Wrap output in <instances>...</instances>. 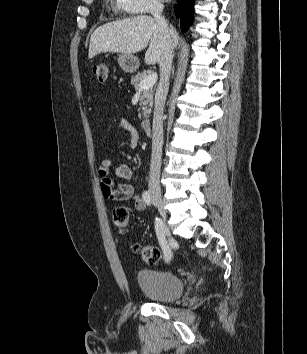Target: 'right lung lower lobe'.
I'll return each instance as SVG.
<instances>
[{"instance_id":"98d812e1","label":"right lung lower lobe","mask_w":307,"mask_h":354,"mask_svg":"<svg viewBox=\"0 0 307 354\" xmlns=\"http://www.w3.org/2000/svg\"><path fill=\"white\" fill-rule=\"evenodd\" d=\"M195 0H178L175 6V14L181 19V29L186 31L193 20V9Z\"/></svg>"}]
</instances>
